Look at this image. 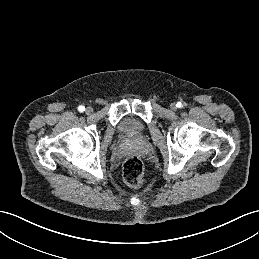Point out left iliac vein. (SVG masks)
Returning <instances> with one entry per match:
<instances>
[{"label":"left iliac vein","mask_w":259,"mask_h":259,"mask_svg":"<svg viewBox=\"0 0 259 259\" xmlns=\"http://www.w3.org/2000/svg\"><path fill=\"white\" fill-rule=\"evenodd\" d=\"M170 109H171L172 111H176V110H177L176 104H175V103H172V104L170 105Z\"/></svg>","instance_id":"4c4485c4"}]
</instances>
